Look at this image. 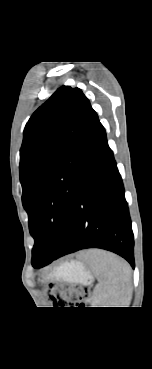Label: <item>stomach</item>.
Masks as SVG:
<instances>
[{"label":"stomach","mask_w":152,"mask_h":369,"mask_svg":"<svg viewBox=\"0 0 152 369\" xmlns=\"http://www.w3.org/2000/svg\"><path fill=\"white\" fill-rule=\"evenodd\" d=\"M53 276L63 278L71 283H79L84 285L90 284L93 279L86 266L75 261L60 265Z\"/></svg>","instance_id":"0dacf381"}]
</instances>
